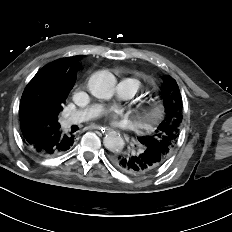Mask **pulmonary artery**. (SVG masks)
I'll return each instance as SVG.
<instances>
[{"label":"pulmonary artery","mask_w":232,"mask_h":232,"mask_svg":"<svg viewBox=\"0 0 232 232\" xmlns=\"http://www.w3.org/2000/svg\"><path fill=\"white\" fill-rule=\"evenodd\" d=\"M139 90V82L132 78L122 79L117 88V95L120 98L127 99L133 97ZM102 105H91L85 109L76 111L62 121L64 128H68L71 125L78 124L91 119L99 114L102 110Z\"/></svg>","instance_id":"1"}]
</instances>
